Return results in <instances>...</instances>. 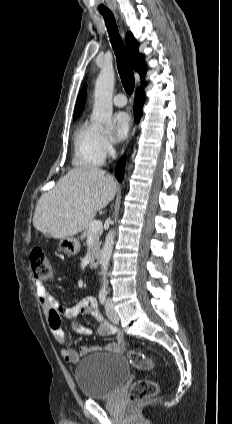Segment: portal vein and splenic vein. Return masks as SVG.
Listing matches in <instances>:
<instances>
[{"label":"portal vein and splenic vein","instance_id":"18ae733b","mask_svg":"<svg viewBox=\"0 0 232 424\" xmlns=\"http://www.w3.org/2000/svg\"><path fill=\"white\" fill-rule=\"evenodd\" d=\"M101 229H102V223L100 221L95 220L90 225V230L92 232H96V231L101 230Z\"/></svg>","mask_w":232,"mask_h":424}]
</instances>
